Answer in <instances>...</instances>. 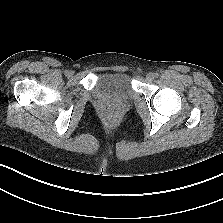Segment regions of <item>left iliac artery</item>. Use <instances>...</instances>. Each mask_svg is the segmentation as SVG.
Here are the masks:
<instances>
[{"label": "left iliac artery", "instance_id": "1", "mask_svg": "<svg viewBox=\"0 0 223 223\" xmlns=\"http://www.w3.org/2000/svg\"><path fill=\"white\" fill-rule=\"evenodd\" d=\"M159 76V74L158 73H155V78H157Z\"/></svg>", "mask_w": 223, "mask_h": 223}]
</instances>
